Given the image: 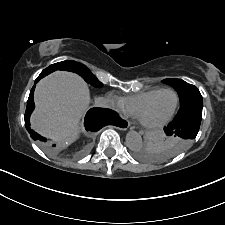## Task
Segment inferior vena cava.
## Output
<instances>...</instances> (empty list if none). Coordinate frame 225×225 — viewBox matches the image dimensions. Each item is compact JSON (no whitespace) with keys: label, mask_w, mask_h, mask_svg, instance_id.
I'll use <instances>...</instances> for the list:
<instances>
[{"label":"inferior vena cava","mask_w":225,"mask_h":225,"mask_svg":"<svg viewBox=\"0 0 225 225\" xmlns=\"http://www.w3.org/2000/svg\"><path fill=\"white\" fill-rule=\"evenodd\" d=\"M95 106L101 108H113L114 103L109 98L98 97L95 99Z\"/></svg>","instance_id":"obj_1"}]
</instances>
